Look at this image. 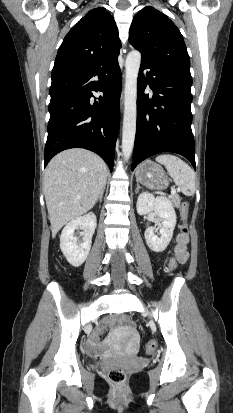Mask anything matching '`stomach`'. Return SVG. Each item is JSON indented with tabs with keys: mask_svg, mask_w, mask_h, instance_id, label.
I'll list each match as a JSON object with an SVG mask.
<instances>
[{
	"mask_svg": "<svg viewBox=\"0 0 233 413\" xmlns=\"http://www.w3.org/2000/svg\"><path fill=\"white\" fill-rule=\"evenodd\" d=\"M135 175L138 182L150 189L163 190L169 184V179L163 168L151 160L140 164Z\"/></svg>",
	"mask_w": 233,
	"mask_h": 413,
	"instance_id": "0dacf381",
	"label": "stomach"
}]
</instances>
